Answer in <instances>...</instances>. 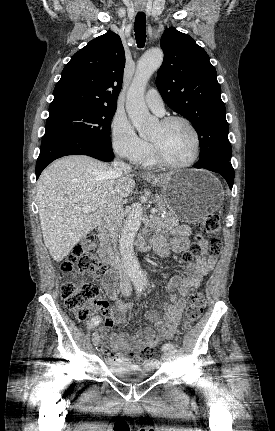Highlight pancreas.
Returning a JSON list of instances; mask_svg holds the SVG:
<instances>
[{
  "instance_id": "pancreas-1",
  "label": "pancreas",
  "mask_w": 275,
  "mask_h": 431,
  "mask_svg": "<svg viewBox=\"0 0 275 431\" xmlns=\"http://www.w3.org/2000/svg\"><path fill=\"white\" fill-rule=\"evenodd\" d=\"M154 202H155V205H156L157 209H158L161 213H164L166 216L171 215V212H168V211H167V209H168V205L165 203V201H164L163 199H161V198H156V199L154 200Z\"/></svg>"
}]
</instances>
